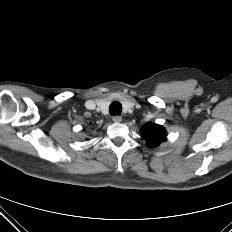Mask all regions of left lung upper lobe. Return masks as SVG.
<instances>
[{
  "label": "left lung upper lobe",
  "mask_w": 232,
  "mask_h": 232,
  "mask_svg": "<svg viewBox=\"0 0 232 232\" xmlns=\"http://www.w3.org/2000/svg\"><path fill=\"white\" fill-rule=\"evenodd\" d=\"M141 133L149 142V147L158 146L165 139L166 136L165 130L162 126L150 123L146 124L141 129Z\"/></svg>",
  "instance_id": "obj_1"
}]
</instances>
